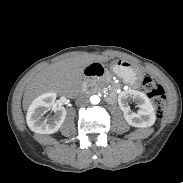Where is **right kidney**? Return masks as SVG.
<instances>
[{"mask_svg":"<svg viewBox=\"0 0 183 183\" xmlns=\"http://www.w3.org/2000/svg\"><path fill=\"white\" fill-rule=\"evenodd\" d=\"M56 94L47 92L36 98L27 111V124L29 128L39 134H52L59 130L66 118V109L54 103ZM52 110L53 116L44 115Z\"/></svg>","mask_w":183,"mask_h":183,"instance_id":"obj_1","label":"right kidney"}]
</instances>
